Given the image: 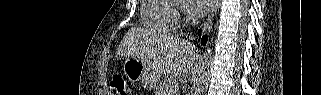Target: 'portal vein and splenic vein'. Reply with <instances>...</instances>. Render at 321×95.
<instances>
[{"instance_id": "1", "label": "portal vein and splenic vein", "mask_w": 321, "mask_h": 95, "mask_svg": "<svg viewBox=\"0 0 321 95\" xmlns=\"http://www.w3.org/2000/svg\"><path fill=\"white\" fill-rule=\"evenodd\" d=\"M179 88V84L175 82V90Z\"/></svg>"}]
</instances>
